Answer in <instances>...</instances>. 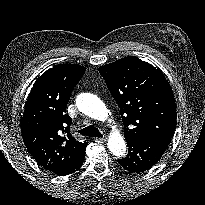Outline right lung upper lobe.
Masks as SVG:
<instances>
[{"label": "right lung upper lobe", "mask_w": 205, "mask_h": 205, "mask_svg": "<svg viewBox=\"0 0 205 205\" xmlns=\"http://www.w3.org/2000/svg\"><path fill=\"white\" fill-rule=\"evenodd\" d=\"M86 68L59 64L44 72L33 84L24 105L21 131L26 148L42 166L55 173L84 155L88 143L76 141L69 131L71 118L66 112L70 94Z\"/></svg>", "instance_id": "cb5924a9"}]
</instances>
